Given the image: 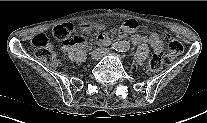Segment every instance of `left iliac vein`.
Instances as JSON below:
<instances>
[{
  "label": "left iliac vein",
  "instance_id": "obj_1",
  "mask_svg": "<svg viewBox=\"0 0 207 123\" xmlns=\"http://www.w3.org/2000/svg\"><path fill=\"white\" fill-rule=\"evenodd\" d=\"M104 54H109V50H105L104 51Z\"/></svg>",
  "mask_w": 207,
  "mask_h": 123
}]
</instances>
